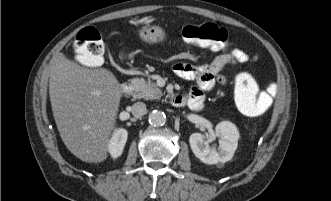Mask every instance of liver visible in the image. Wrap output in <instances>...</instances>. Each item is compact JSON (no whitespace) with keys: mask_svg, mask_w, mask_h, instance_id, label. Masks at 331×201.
<instances>
[{"mask_svg":"<svg viewBox=\"0 0 331 201\" xmlns=\"http://www.w3.org/2000/svg\"><path fill=\"white\" fill-rule=\"evenodd\" d=\"M49 73L50 101L63 143L84 162H103L121 99L115 75L105 68L81 67L60 52L51 58Z\"/></svg>","mask_w":331,"mask_h":201,"instance_id":"6515ba94","label":"liver"}]
</instances>
